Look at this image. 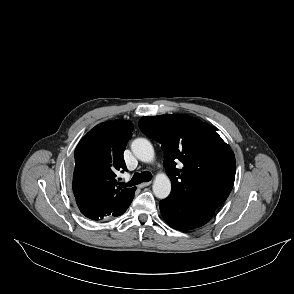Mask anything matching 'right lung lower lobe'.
I'll return each instance as SVG.
<instances>
[{
    "label": "right lung lower lobe",
    "instance_id": "98d812e1",
    "mask_svg": "<svg viewBox=\"0 0 294 294\" xmlns=\"http://www.w3.org/2000/svg\"><path fill=\"white\" fill-rule=\"evenodd\" d=\"M133 197H134V195L132 196V198L130 199V201L126 204V206L120 211V213H119L117 216L123 214V213L126 211V209H127V208L129 207V205L131 204V202H132V200H133Z\"/></svg>",
    "mask_w": 294,
    "mask_h": 294
}]
</instances>
